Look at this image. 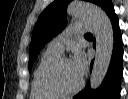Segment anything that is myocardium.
Masks as SVG:
<instances>
[{"mask_svg":"<svg viewBox=\"0 0 128 99\" xmlns=\"http://www.w3.org/2000/svg\"><path fill=\"white\" fill-rule=\"evenodd\" d=\"M66 61H71V60L68 57H59L56 61H54L52 64H50L48 67H46V69L43 71V73L41 75L42 87L46 91H48L58 97H69V96L75 95L82 89V87L84 85L83 77H81L80 83L75 88H73L71 90H67V91L62 90L54 83V81H53L54 75L56 74L58 69L61 67V65Z\"/></svg>","mask_w":128,"mask_h":99,"instance_id":"1","label":"myocardium"}]
</instances>
